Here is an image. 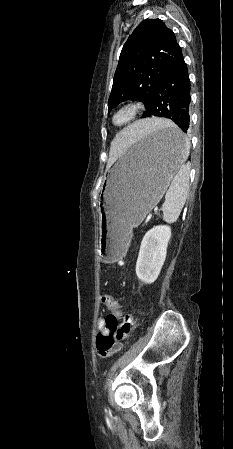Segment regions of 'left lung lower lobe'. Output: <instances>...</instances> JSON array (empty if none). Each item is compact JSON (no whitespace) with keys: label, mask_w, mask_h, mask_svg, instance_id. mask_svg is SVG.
I'll return each mask as SVG.
<instances>
[{"label":"left lung lower lobe","mask_w":233,"mask_h":449,"mask_svg":"<svg viewBox=\"0 0 233 449\" xmlns=\"http://www.w3.org/2000/svg\"><path fill=\"white\" fill-rule=\"evenodd\" d=\"M190 79L183 56L166 72L156 87L150 109L143 118L158 116L172 120L184 132L190 129ZM159 141L169 147H181L186 137L181 134L162 133Z\"/></svg>","instance_id":"left-lung-lower-lobe-1"}]
</instances>
